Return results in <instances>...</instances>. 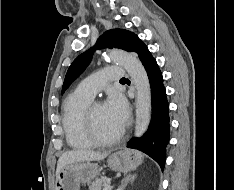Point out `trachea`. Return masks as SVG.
Instances as JSON below:
<instances>
[{"mask_svg":"<svg viewBox=\"0 0 234 190\" xmlns=\"http://www.w3.org/2000/svg\"><path fill=\"white\" fill-rule=\"evenodd\" d=\"M121 80H126V78H122Z\"/></svg>","mask_w":234,"mask_h":190,"instance_id":"3493384b","label":"trachea"}]
</instances>
